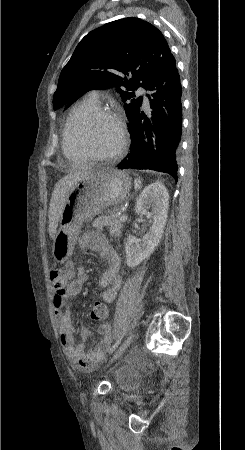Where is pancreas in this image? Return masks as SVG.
I'll list each match as a JSON object with an SVG mask.
<instances>
[{"mask_svg": "<svg viewBox=\"0 0 245 450\" xmlns=\"http://www.w3.org/2000/svg\"><path fill=\"white\" fill-rule=\"evenodd\" d=\"M93 226L98 229L108 226L112 236H119L123 227V221L118 220L115 216H100L93 221Z\"/></svg>", "mask_w": 245, "mask_h": 450, "instance_id": "1", "label": "pancreas"}]
</instances>
